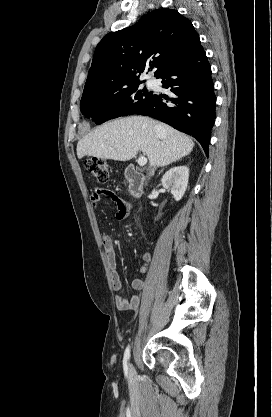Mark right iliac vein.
<instances>
[{"label":"right iliac vein","mask_w":272,"mask_h":417,"mask_svg":"<svg viewBox=\"0 0 272 417\" xmlns=\"http://www.w3.org/2000/svg\"><path fill=\"white\" fill-rule=\"evenodd\" d=\"M129 375H130V377H133V375H134V369L131 365L129 366Z\"/></svg>","instance_id":"right-iliac-vein-1"}]
</instances>
